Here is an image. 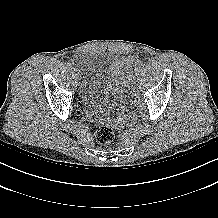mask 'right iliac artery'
Segmentation results:
<instances>
[{
  "instance_id": "82829eb1",
  "label": "right iliac artery",
  "mask_w": 218,
  "mask_h": 218,
  "mask_svg": "<svg viewBox=\"0 0 218 218\" xmlns=\"http://www.w3.org/2000/svg\"><path fill=\"white\" fill-rule=\"evenodd\" d=\"M67 65H68L69 68H72L73 62H72V61H69V62L67 63Z\"/></svg>"
}]
</instances>
